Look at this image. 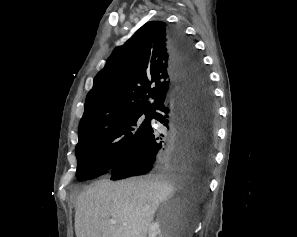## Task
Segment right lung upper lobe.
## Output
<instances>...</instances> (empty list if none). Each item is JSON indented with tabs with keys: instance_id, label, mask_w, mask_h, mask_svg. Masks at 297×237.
<instances>
[{
	"instance_id": "cb5924a9",
	"label": "right lung upper lobe",
	"mask_w": 297,
	"mask_h": 237,
	"mask_svg": "<svg viewBox=\"0 0 297 237\" xmlns=\"http://www.w3.org/2000/svg\"><path fill=\"white\" fill-rule=\"evenodd\" d=\"M170 27L144 24L108 58L87 94L78 134L105 119L154 112L177 88L171 69Z\"/></svg>"
}]
</instances>
